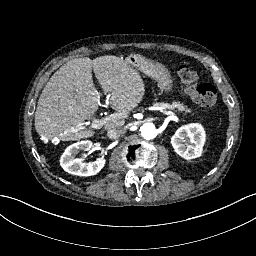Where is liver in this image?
<instances>
[{"mask_svg": "<svg viewBox=\"0 0 256 256\" xmlns=\"http://www.w3.org/2000/svg\"><path fill=\"white\" fill-rule=\"evenodd\" d=\"M92 69L112 109L128 114L142 101L143 80L127 60L112 55L70 60L51 76L39 97L35 129L41 137L75 141L94 135L85 123L101 104ZM124 123V120H111L104 129L121 127Z\"/></svg>", "mask_w": 256, "mask_h": 256, "instance_id": "obj_1", "label": "liver"}]
</instances>
